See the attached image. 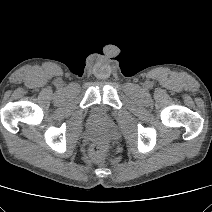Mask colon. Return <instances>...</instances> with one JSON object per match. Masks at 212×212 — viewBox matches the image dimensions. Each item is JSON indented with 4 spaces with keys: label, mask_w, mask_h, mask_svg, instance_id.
Segmentation results:
<instances>
[{
    "label": "colon",
    "mask_w": 212,
    "mask_h": 212,
    "mask_svg": "<svg viewBox=\"0 0 212 212\" xmlns=\"http://www.w3.org/2000/svg\"><path fill=\"white\" fill-rule=\"evenodd\" d=\"M106 148V140L103 137L98 138L92 145L93 152L102 154Z\"/></svg>",
    "instance_id": "obj_1"
}]
</instances>
